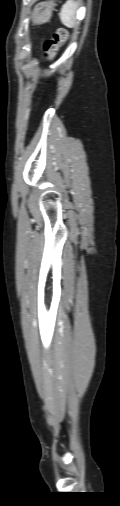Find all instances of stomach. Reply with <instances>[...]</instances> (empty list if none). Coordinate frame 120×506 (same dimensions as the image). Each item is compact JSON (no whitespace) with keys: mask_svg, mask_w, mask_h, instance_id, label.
<instances>
[{"mask_svg":"<svg viewBox=\"0 0 120 506\" xmlns=\"http://www.w3.org/2000/svg\"><path fill=\"white\" fill-rule=\"evenodd\" d=\"M55 6L54 0L40 2L35 5L32 12L33 23L42 24L47 22L51 18Z\"/></svg>","mask_w":120,"mask_h":506,"instance_id":"0dacf381","label":"stomach"}]
</instances>
